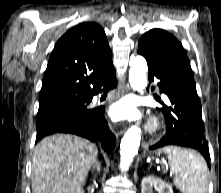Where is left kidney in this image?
<instances>
[{
    "instance_id": "5707ae66",
    "label": "left kidney",
    "mask_w": 221,
    "mask_h": 193,
    "mask_svg": "<svg viewBox=\"0 0 221 193\" xmlns=\"http://www.w3.org/2000/svg\"><path fill=\"white\" fill-rule=\"evenodd\" d=\"M155 188L158 193H173L170 185L154 176H147L141 182V193H152V188Z\"/></svg>"
}]
</instances>
